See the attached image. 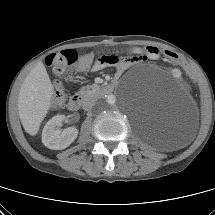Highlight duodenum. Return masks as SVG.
Returning a JSON list of instances; mask_svg holds the SVG:
<instances>
[{"instance_id":"obj_1","label":"duodenum","mask_w":215,"mask_h":215,"mask_svg":"<svg viewBox=\"0 0 215 215\" xmlns=\"http://www.w3.org/2000/svg\"><path fill=\"white\" fill-rule=\"evenodd\" d=\"M116 84H117L116 81L109 83L103 88L102 92L103 93L112 92L116 87ZM88 99H89L88 96L80 95V94L72 96L68 101L69 110L71 111L79 110L88 101Z\"/></svg>"}]
</instances>
